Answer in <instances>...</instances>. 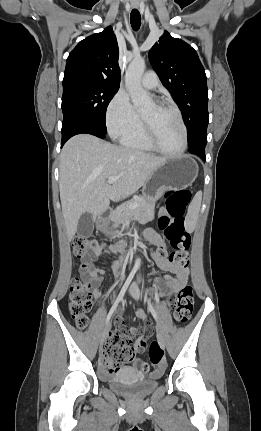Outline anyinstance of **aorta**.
Here are the masks:
<instances>
[{"label": "aorta", "mask_w": 261, "mask_h": 431, "mask_svg": "<svg viewBox=\"0 0 261 431\" xmlns=\"http://www.w3.org/2000/svg\"><path fill=\"white\" fill-rule=\"evenodd\" d=\"M145 61L142 58H135L128 66L125 75V84L130 93L131 101L136 108L147 106L151 103L149 93L141 85L142 75L145 70ZM140 259H136V264Z\"/></svg>", "instance_id": "aorta-1"}]
</instances>
